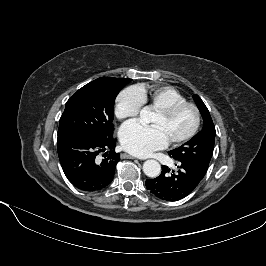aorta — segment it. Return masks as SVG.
<instances>
[{
	"instance_id": "1",
	"label": "aorta",
	"mask_w": 266,
	"mask_h": 266,
	"mask_svg": "<svg viewBox=\"0 0 266 266\" xmlns=\"http://www.w3.org/2000/svg\"><path fill=\"white\" fill-rule=\"evenodd\" d=\"M151 118V111L148 107H144L140 111V119L141 121L148 123ZM143 172L146 176L155 178L160 175L161 173V166L159 162L156 160H147L143 164Z\"/></svg>"
}]
</instances>
